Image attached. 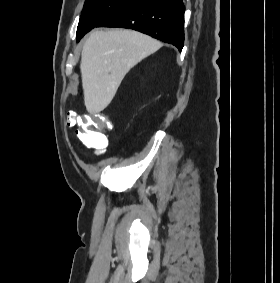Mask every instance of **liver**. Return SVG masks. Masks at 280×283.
Returning <instances> with one entry per match:
<instances>
[{"mask_svg":"<svg viewBox=\"0 0 280 283\" xmlns=\"http://www.w3.org/2000/svg\"><path fill=\"white\" fill-rule=\"evenodd\" d=\"M160 47L155 39L133 30L93 31L80 63L86 110L90 114L103 111L126 73Z\"/></svg>","mask_w":280,"mask_h":283,"instance_id":"liver-1","label":"liver"}]
</instances>
